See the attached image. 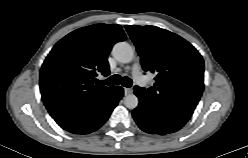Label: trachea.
<instances>
[{
	"instance_id": "obj_1",
	"label": "trachea",
	"mask_w": 248,
	"mask_h": 158,
	"mask_svg": "<svg viewBox=\"0 0 248 158\" xmlns=\"http://www.w3.org/2000/svg\"><path fill=\"white\" fill-rule=\"evenodd\" d=\"M102 84H106V85L122 84L124 87L130 88L132 86V80L127 76L121 77L120 75L116 74L108 78L106 81L102 82Z\"/></svg>"
}]
</instances>
